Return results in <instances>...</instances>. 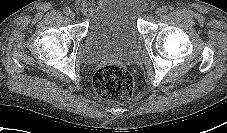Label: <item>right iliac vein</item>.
<instances>
[{
    "label": "right iliac vein",
    "mask_w": 227,
    "mask_h": 133,
    "mask_svg": "<svg viewBox=\"0 0 227 133\" xmlns=\"http://www.w3.org/2000/svg\"><path fill=\"white\" fill-rule=\"evenodd\" d=\"M69 17H70L71 19H74V18H75V13H74L73 11H71V12L69 13Z\"/></svg>",
    "instance_id": "obj_1"
}]
</instances>
